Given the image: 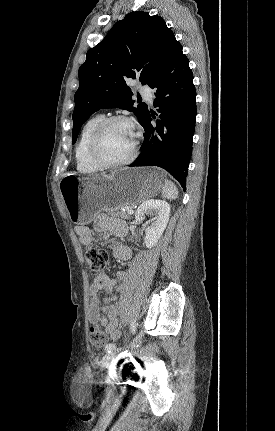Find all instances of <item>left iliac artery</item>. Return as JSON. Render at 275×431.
I'll use <instances>...</instances> for the list:
<instances>
[{
  "instance_id": "1",
  "label": "left iliac artery",
  "mask_w": 275,
  "mask_h": 431,
  "mask_svg": "<svg viewBox=\"0 0 275 431\" xmlns=\"http://www.w3.org/2000/svg\"><path fill=\"white\" fill-rule=\"evenodd\" d=\"M130 329H131V332L134 334V333H135V331H136V324H135V321H134V320H132V321H131ZM115 349H116V345H115L114 343H109V344H107V345H106V347H105V351H106L107 353H110L111 351H113V350H115Z\"/></svg>"
}]
</instances>
